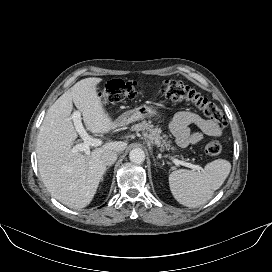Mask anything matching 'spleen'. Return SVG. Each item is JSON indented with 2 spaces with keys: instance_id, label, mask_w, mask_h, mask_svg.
<instances>
[{
  "instance_id": "obj_1",
  "label": "spleen",
  "mask_w": 272,
  "mask_h": 272,
  "mask_svg": "<svg viewBox=\"0 0 272 272\" xmlns=\"http://www.w3.org/2000/svg\"><path fill=\"white\" fill-rule=\"evenodd\" d=\"M230 170V162L223 159L208 163L202 171L176 170L169 175L170 190L180 204L190 208L199 207L212 198Z\"/></svg>"
}]
</instances>
